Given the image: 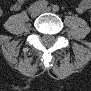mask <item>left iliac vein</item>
Segmentation results:
<instances>
[{"mask_svg":"<svg viewBox=\"0 0 91 91\" xmlns=\"http://www.w3.org/2000/svg\"><path fill=\"white\" fill-rule=\"evenodd\" d=\"M42 12H50L51 8L50 7H44L41 9Z\"/></svg>","mask_w":91,"mask_h":91,"instance_id":"1","label":"left iliac vein"}]
</instances>
